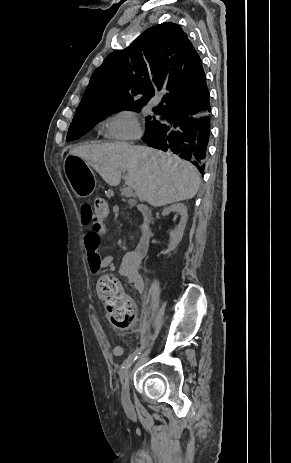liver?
I'll use <instances>...</instances> for the list:
<instances>
[{
	"instance_id": "1",
	"label": "liver",
	"mask_w": 291,
	"mask_h": 463,
	"mask_svg": "<svg viewBox=\"0 0 291 463\" xmlns=\"http://www.w3.org/2000/svg\"><path fill=\"white\" fill-rule=\"evenodd\" d=\"M91 165L110 186H118L127 170L125 184L141 202L160 207L195 197L200 187L196 167L176 155L124 142L87 144L71 149Z\"/></svg>"
}]
</instances>
